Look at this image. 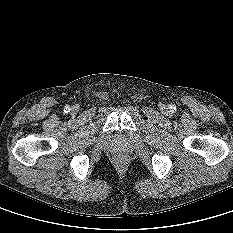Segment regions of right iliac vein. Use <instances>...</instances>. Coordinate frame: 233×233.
Wrapping results in <instances>:
<instances>
[{"mask_svg": "<svg viewBox=\"0 0 233 233\" xmlns=\"http://www.w3.org/2000/svg\"><path fill=\"white\" fill-rule=\"evenodd\" d=\"M79 111V107L78 106H73L72 109H71V112L73 114L77 113Z\"/></svg>", "mask_w": 233, "mask_h": 233, "instance_id": "obj_1", "label": "right iliac vein"}]
</instances>
